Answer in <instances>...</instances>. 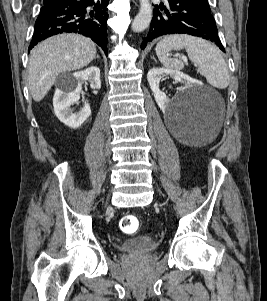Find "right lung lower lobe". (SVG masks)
I'll return each instance as SVG.
<instances>
[{
  "instance_id": "98d812e1",
  "label": "right lung lower lobe",
  "mask_w": 267,
  "mask_h": 301,
  "mask_svg": "<svg viewBox=\"0 0 267 301\" xmlns=\"http://www.w3.org/2000/svg\"><path fill=\"white\" fill-rule=\"evenodd\" d=\"M109 0H57L44 5L35 22L29 50L41 40L63 32L90 37L107 55Z\"/></svg>"
}]
</instances>
